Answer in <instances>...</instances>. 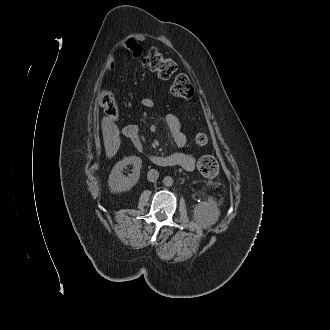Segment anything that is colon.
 I'll list each match as a JSON object with an SVG mask.
<instances>
[{
  "label": "colon",
  "mask_w": 330,
  "mask_h": 330,
  "mask_svg": "<svg viewBox=\"0 0 330 330\" xmlns=\"http://www.w3.org/2000/svg\"><path fill=\"white\" fill-rule=\"evenodd\" d=\"M142 64L145 68L155 72L158 77L162 79L171 78L178 68L174 61L165 58L155 47L148 49L142 59ZM171 94L174 97L182 99L193 97L194 89L187 75L181 74L174 79L171 86ZM99 102L108 117H118V106L111 91H102L99 96ZM194 139L198 145H205L208 142V137L205 133H197ZM198 169L204 176L214 177L218 173L219 165L214 157L203 156L198 161Z\"/></svg>",
  "instance_id": "obj_1"
}]
</instances>
